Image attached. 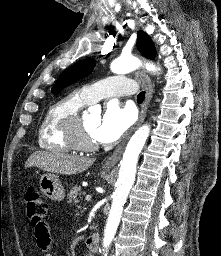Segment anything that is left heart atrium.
I'll return each instance as SVG.
<instances>
[{"instance_id": "39dd6f15", "label": "left heart atrium", "mask_w": 221, "mask_h": 256, "mask_svg": "<svg viewBox=\"0 0 221 256\" xmlns=\"http://www.w3.org/2000/svg\"><path fill=\"white\" fill-rule=\"evenodd\" d=\"M135 113L129 107L109 102L101 120L93 131V138L100 143L117 141L134 123Z\"/></svg>"}]
</instances>
